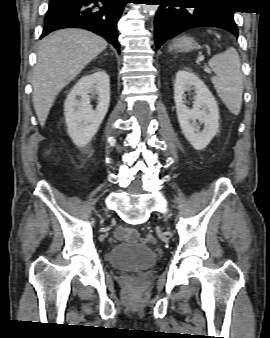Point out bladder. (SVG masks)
<instances>
[{
    "label": "bladder",
    "instance_id": "31cf9c89",
    "mask_svg": "<svg viewBox=\"0 0 270 338\" xmlns=\"http://www.w3.org/2000/svg\"><path fill=\"white\" fill-rule=\"evenodd\" d=\"M157 254L155 250L140 242L117 243L109 253L110 265L123 271L148 269L155 265Z\"/></svg>",
    "mask_w": 270,
    "mask_h": 338
}]
</instances>
